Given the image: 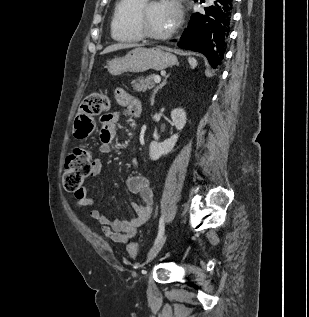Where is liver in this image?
Returning a JSON list of instances; mask_svg holds the SVG:
<instances>
[{
	"label": "liver",
	"instance_id": "obj_1",
	"mask_svg": "<svg viewBox=\"0 0 309 317\" xmlns=\"http://www.w3.org/2000/svg\"><path fill=\"white\" fill-rule=\"evenodd\" d=\"M137 46H141V45L130 44V43H117V44H113V45L106 47L103 50V52H101V54H107V53L114 52V51H117L120 49L132 48V47H137Z\"/></svg>",
	"mask_w": 309,
	"mask_h": 317
}]
</instances>
